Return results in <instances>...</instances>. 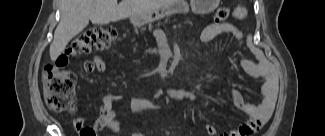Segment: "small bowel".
<instances>
[{"label": "small bowel", "mask_w": 325, "mask_h": 136, "mask_svg": "<svg viewBox=\"0 0 325 136\" xmlns=\"http://www.w3.org/2000/svg\"><path fill=\"white\" fill-rule=\"evenodd\" d=\"M224 34H230L237 40L242 39V32L231 23H210L200 33V41L205 44L211 43L216 37ZM75 50L74 44H69L68 48H64L63 53H58L56 58V71L64 75L68 88H74L76 86L75 80L79 79L78 73H73L71 68H67V61L69 55H73ZM258 62L254 63L248 59H243L242 64L246 71L254 77L261 78L263 84L261 87L262 100L259 105H253L248 103L245 98L237 91H232L231 96L234 105L239 110L246 113L249 118L241 125L232 128L223 133L224 136H248L252 131H258L262 124L268 121L275 102L276 95V79L271 71V68L267 62L263 59L262 55L256 53ZM195 69V67H193ZM84 70L87 73L93 71L104 72L106 70V62L103 57L95 56L92 60H88L84 63ZM189 78V77H186ZM165 94L176 101L198 99L197 95L193 92L172 89L164 87ZM122 99V95L118 93H112L106 96L103 100L101 107L100 117L94 123L92 127L85 126L84 120L81 117H77L73 120L74 127L81 133L84 130L92 129L94 131H100L103 128H107L110 131L116 133L120 130L121 124L116 120V112L114 110V104L116 101ZM146 107V103L139 98H131L129 102L130 112H138ZM74 110V107L72 108ZM209 134L215 133V128L208 124L206 126Z\"/></svg>", "instance_id": "small-bowel-1"}]
</instances>
